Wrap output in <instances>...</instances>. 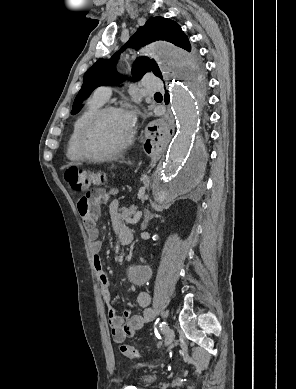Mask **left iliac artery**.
I'll return each instance as SVG.
<instances>
[{
    "mask_svg": "<svg viewBox=\"0 0 296 389\" xmlns=\"http://www.w3.org/2000/svg\"><path fill=\"white\" fill-rule=\"evenodd\" d=\"M159 327H160V329H161V331H162L163 333H165V332L167 331V329L169 328V327H168V324H167L166 322H161V323L159 324Z\"/></svg>",
    "mask_w": 296,
    "mask_h": 389,
    "instance_id": "1",
    "label": "left iliac artery"
}]
</instances>
